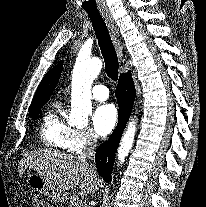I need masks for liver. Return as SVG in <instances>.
Returning a JSON list of instances; mask_svg holds the SVG:
<instances>
[{
  "instance_id": "6515ba94",
  "label": "liver",
  "mask_w": 206,
  "mask_h": 207,
  "mask_svg": "<svg viewBox=\"0 0 206 207\" xmlns=\"http://www.w3.org/2000/svg\"><path fill=\"white\" fill-rule=\"evenodd\" d=\"M29 167L41 175L52 189V199L64 202L67 191L79 185V194L87 195L99 190L101 179L92 172L87 161L80 156L56 150H38L27 154L21 160L20 175Z\"/></svg>"
}]
</instances>
